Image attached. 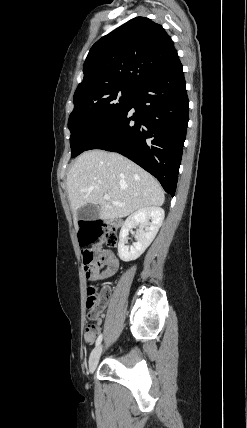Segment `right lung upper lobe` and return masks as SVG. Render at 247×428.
Masks as SVG:
<instances>
[{
	"label": "right lung upper lobe",
	"instance_id": "right-lung-upper-lobe-1",
	"mask_svg": "<svg viewBox=\"0 0 247 428\" xmlns=\"http://www.w3.org/2000/svg\"><path fill=\"white\" fill-rule=\"evenodd\" d=\"M177 59L174 43L161 25L146 17L133 18L91 47L73 98L116 86L138 89Z\"/></svg>",
	"mask_w": 247,
	"mask_h": 428
}]
</instances>
